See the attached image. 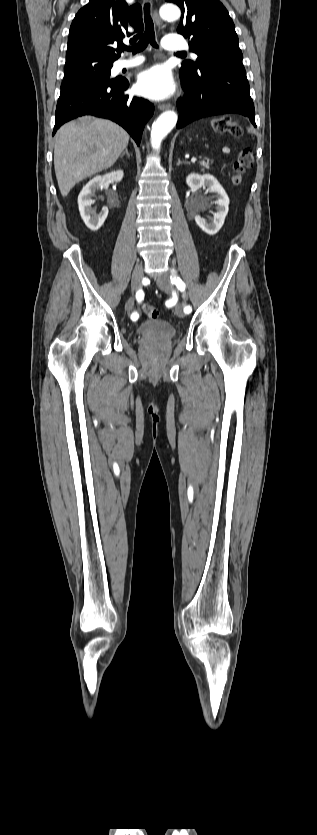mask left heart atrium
Here are the masks:
<instances>
[{
	"label": "left heart atrium",
	"instance_id": "1",
	"mask_svg": "<svg viewBox=\"0 0 317 835\" xmlns=\"http://www.w3.org/2000/svg\"><path fill=\"white\" fill-rule=\"evenodd\" d=\"M137 92L153 100L170 97L175 91L171 72L163 65H155L141 72L136 82Z\"/></svg>",
	"mask_w": 317,
	"mask_h": 835
}]
</instances>
